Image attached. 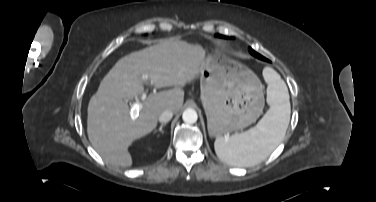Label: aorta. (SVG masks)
<instances>
[{"mask_svg":"<svg viewBox=\"0 0 376 202\" xmlns=\"http://www.w3.org/2000/svg\"><path fill=\"white\" fill-rule=\"evenodd\" d=\"M182 119L187 124H193L198 119L197 112L192 108H187L182 114Z\"/></svg>","mask_w":376,"mask_h":202,"instance_id":"1","label":"aorta"}]
</instances>
